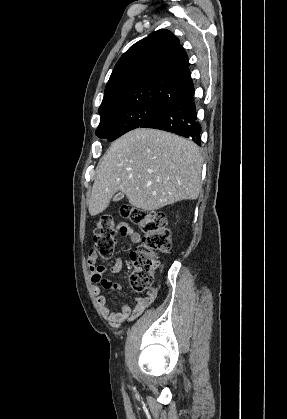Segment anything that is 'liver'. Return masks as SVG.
<instances>
[{"label": "liver", "mask_w": 287, "mask_h": 419, "mask_svg": "<svg viewBox=\"0 0 287 419\" xmlns=\"http://www.w3.org/2000/svg\"><path fill=\"white\" fill-rule=\"evenodd\" d=\"M203 158L199 147L178 135L138 128L114 141L98 164L89 199L96 216L117 191L144 211L195 200L201 189Z\"/></svg>", "instance_id": "liver-1"}]
</instances>
